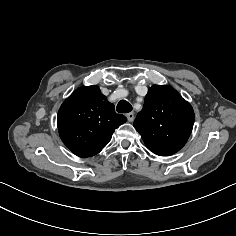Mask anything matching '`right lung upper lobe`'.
Wrapping results in <instances>:
<instances>
[{"label":"right lung upper lobe","instance_id":"right-lung-upper-lobe-1","mask_svg":"<svg viewBox=\"0 0 236 236\" xmlns=\"http://www.w3.org/2000/svg\"><path fill=\"white\" fill-rule=\"evenodd\" d=\"M126 121L94 85L78 88L64 101L57 123L64 144L75 155L87 158L99 153Z\"/></svg>","mask_w":236,"mask_h":236}]
</instances>
